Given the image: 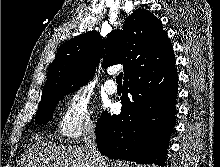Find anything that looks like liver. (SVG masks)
Segmentation results:
<instances>
[{
	"label": "liver",
	"instance_id": "6515ba94",
	"mask_svg": "<svg viewBox=\"0 0 220 167\" xmlns=\"http://www.w3.org/2000/svg\"><path fill=\"white\" fill-rule=\"evenodd\" d=\"M16 167H95V164L85 147L41 141L25 152Z\"/></svg>",
	"mask_w": 220,
	"mask_h": 167
}]
</instances>
